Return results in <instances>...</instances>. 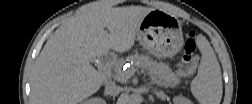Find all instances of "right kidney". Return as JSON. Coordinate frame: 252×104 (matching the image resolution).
<instances>
[{"instance_id": "right-kidney-1", "label": "right kidney", "mask_w": 252, "mask_h": 104, "mask_svg": "<svg viewBox=\"0 0 252 104\" xmlns=\"http://www.w3.org/2000/svg\"><path fill=\"white\" fill-rule=\"evenodd\" d=\"M85 104H106L105 100L102 98H91L84 102Z\"/></svg>"}]
</instances>
